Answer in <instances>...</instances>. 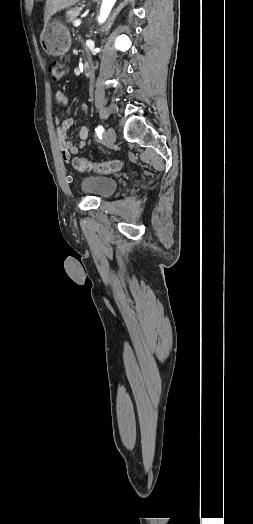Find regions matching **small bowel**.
<instances>
[{
	"label": "small bowel",
	"instance_id": "1",
	"mask_svg": "<svg viewBox=\"0 0 253 524\" xmlns=\"http://www.w3.org/2000/svg\"><path fill=\"white\" fill-rule=\"evenodd\" d=\"M55 98L58 103L62 105H67L69 103V97L62 91L58 90L55 94ZM83 112L86 114L88 107L86 104L81 106ZM57 124V136L61 148L62 158L65 162L69 163L71 161V156L77 154L80 148L86 146V140L88 138L89 130L86 124L82 125L79 130V142L77 144L69 141L67 139V132L72 127L74 121L72 118H66L61 120L59 117L55 118Z\"/></svg>",
	"mask_w": 253,
	"mask_h": 524
}]
</instances>
